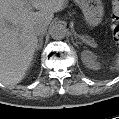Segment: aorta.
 I'll return each instance as SVG.
<instances>
[{
	"label": "aorta",
	"instance_id": "762f6f07",
	"mask_svg": "<svg viewBox=\"0 0 119 119\" xmlns=\"http://www.w3.org/2000/svg\"><path fill=\"white\" fill-rule=\"evenodd\" d=\"M50 35L54 40H61L67 35V29L60 23H55L50 29Z\"/></svg>",
	"mask_w": 119,
	"mask_h": 119
}]
</instances>
